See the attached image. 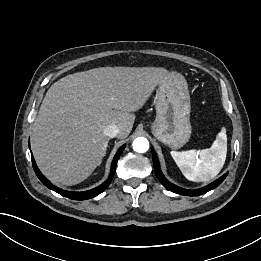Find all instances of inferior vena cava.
<instances>
[{"label": "inferior vena cava", "mask_w": 261, "mask_h": 261, "mask_svg": "<svg viewBox=\"0 0 261 261\" xmlns=\"http://www.w3.org/2000/svg\"><path fill=\"white\" fill-rule=\"evenodd\" d=\"M119 133V128L117 125L115 124H110L108 125L105 130H104V134L106 136H108L109 138H114L118 135Z\"/></svg>", "instance_id": "inferior-vena-cava-1"}]
</instances>
